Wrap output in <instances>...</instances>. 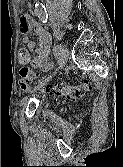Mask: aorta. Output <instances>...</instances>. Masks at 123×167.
Returning a JSON list of instances; mask_svg holds the SVG:
<instances>
[{"mask_svg":"<svg viewBox=\"0 0 123 167\" xmlns=\"http://www.w3.org/2000/svg\"><path fill=\"white\" fill-rule=\"evenodd\" d=\"M35 13L43 23L47 21V14L42 3L37 2L35 4Z\"/></svg>","mask_w":123,"mask_h":167,"instance_id":"obj_1","label":"aorta"}]
</instances>
